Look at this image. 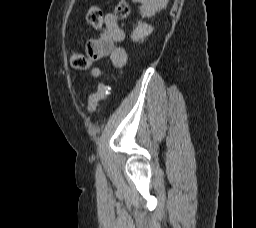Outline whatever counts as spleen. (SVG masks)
Listing matches in <instances>:
<instances>
[{"mask_svg": "<svg viewBox=\"0 0 256 228\" xmlns=\"http://www.w3.org/2000/svg\"><path fill=\"white\" fill-rule=\"evenodd\" d=\"M141 2L140 13L144 17H152L156 12L164 9L169 0H138ZM135 2V0H133Z\"/></svg>", "mask_w": 256, "mask_h": 228, "instance_id": "3e777b00", "label": "spleen"}]
</instances>
